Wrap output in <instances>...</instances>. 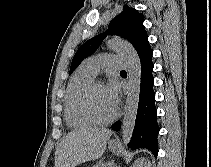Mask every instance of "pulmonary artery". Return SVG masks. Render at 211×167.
<instances>
[{"label": "pulmonary artery", "mask_w": 211, "mask_h": 167, "mask_svg": "<svg viewBox=\"0 0 211 167\" xmlns=\"http://www.w3.org/2000/svg\"><path fill=\"white\" fill-rule=\"evenodd\" d=\"M127 66V61L118 55L101 54L83 61L82 67L96 76L103 70H120Z\"/></svg>", "instance_id": "1"}]
</instances>
